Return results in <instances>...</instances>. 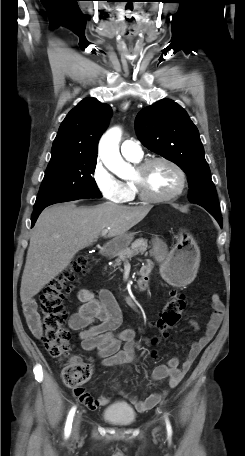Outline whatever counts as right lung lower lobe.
<instances>
[{"label":"right lung lower lobe","mask_w":245,"mask_h":456,"mask_svg":"<svg viewBox=\"0 0 245 456\" xmlns=\"http://www.w3.org/2000/svg\"><path fill=\"white\" fill-rule=\"evenodd\" d=\"M44 208H45V207H44ZM44 208L35 209V210L33 211V214H32V217H31L32 226H34V224H35V222H36V220H37L39 214L42 212V210H43Z\"/></svg>","instance_id":"1"}]
</instances>
